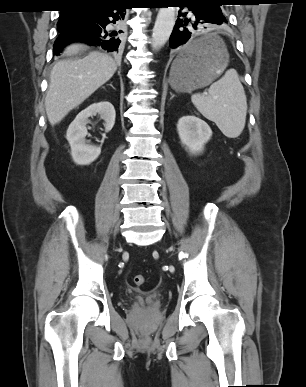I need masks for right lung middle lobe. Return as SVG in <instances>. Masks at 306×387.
Segmentation results:
<instances>
[{"label":"right lung middle lobe","instance_id":"right-lung-middle-lobe-1","mask_svg":"<svg viewBox=\"0 0 306 387\" xmlns=\"http://www.w3.org/2000/svg\"><path fill=\"white\" fill-rule=\"evenodd\" d=\"M81 14V8L66 9V11L61 12L57 23L58 30L66 29L80 22L82 20Z\"/></svg>","mask_w":306,"mask_h":387}]
</instances>
